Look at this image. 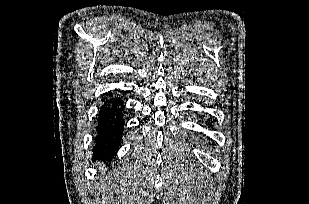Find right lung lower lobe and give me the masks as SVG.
Returning a JSON list of instances; mask_svg holds the SVG:
<instances>
[{"instance_id":"98d812e1","label":"right lung lower lobe","mask_w":309,"mask_h":204,"mask_svg":"<svg viewBox=\"0 0 309 204\" xmlns=\"http://www.w3.org/2000/svg\"><path fill=\"white\" fill-rule=\"evenodd\" d=\"M124 100L114 96L100 108L97 118L94 158L111 160L120 146L124 130Z\"/></svg>"}]
</instances>
